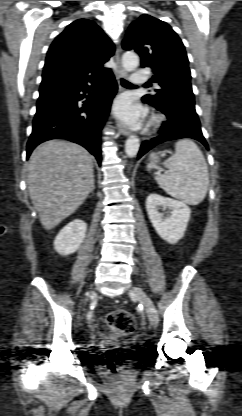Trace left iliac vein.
Returning a JSON list of instances; mask_svg holds the SVG:
<instances>
[{
	"instance_id": "1",
	"label": "left iliac vein",
	"mask_w": 242,
	"mask_h": 416,
	"mask_svg": "<svg viewBox=\"0 0 242 416\" xmlns=\"http://www.w3.org/2000/svg\"><path fill=\"white\" fill-rule=\"evenodd\" d=\"M129 295L137 299L144 307L145 312L153 326L158 324V312L150 297L140 288L132 287L129 291Z\"/></svg>"
}]
</instances>
